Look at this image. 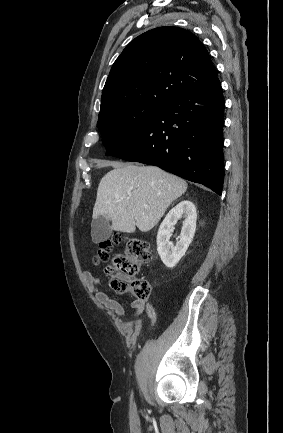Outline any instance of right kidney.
Segmentation results:
<instances>
[{"label":"right kidney","instance_id":"1","mask_svg":"<svg viewBox=\"0 0 283 433\" xmlns=\"http://www.w3.org/2000/svg\"><path fill=\"white\" fill-rule=\"evenodd\" d=\"M184 217L183 226L176 246L169 241L172 228ZM196 207L188 200L181 201L172 208L160 225L157 234V251L166 267H174L185 255L196 230Z\"/></svg>","mask_w":283,"mask_h":433}]
</instances>
